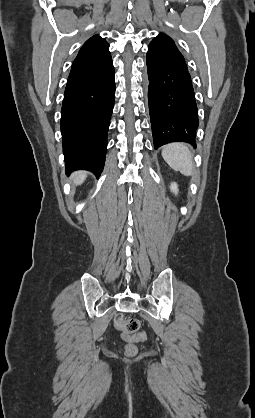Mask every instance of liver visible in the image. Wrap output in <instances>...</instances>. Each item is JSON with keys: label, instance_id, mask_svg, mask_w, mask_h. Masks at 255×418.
Returning <instances> with one entry per match:
<instances>
[{"label": "liver", "instance_id": "1", "mask_svg": "<svg viewBox=\"0 0 255 418\" xmlns=\"http://www.w3.org/2000/svg\"><path fill=\"white\" fill-rule=\"evenodd\" d=\"M86 176H87V173L86 172H83V171L75 173L73 175L74 183L76 185L82 184L84 182Z\"/></svg>", "mask_w": 255, "mask_h": 418}]
</instances>
